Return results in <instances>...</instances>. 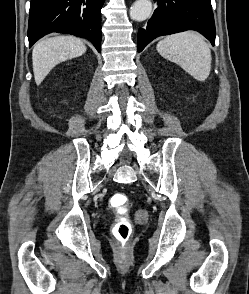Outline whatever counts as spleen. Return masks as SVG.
<instances>
[{
  "label": "spleen",
  "instance_id": "1",
  "mask_svg": "<svg viewBox=\"0 0 249 294\" xmlns=\"http://www.w3.org/2000/svg\"><path fill=\"white\" fill-rule=\"evenodd\" d=\"M158 53L180 65L198 81L208 78L211 71V51L205 38L197 32L185 31L169 35L157 44Z\"/></svg>",
  "mask_w": 249,
  "mask_h": 294
}]
</instances>
